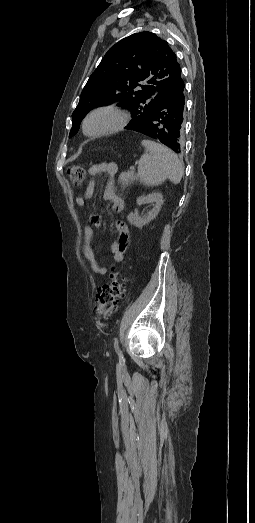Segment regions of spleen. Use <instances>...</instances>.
I'll use <instances>...</instances> for the list:
<instances>
[{"instance_id": "spleen-1", "label": "spleen", "mask_w": 255, "mask_h": 523, "mask_svg": "<svg viewBox=\"0 0 255 523\" xmlns=\"http://www.w3.org/2000/svg\"><path fill=\"white\" fill-rule=\"evenodd\" d=\"M142 146L150 152L143 154L138 162V176L142 184L159 186L167 178L173 184H179L184 170L177 154L151 140H143Z\"/></svg>"}]
</instances>
